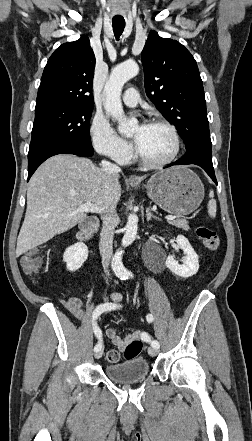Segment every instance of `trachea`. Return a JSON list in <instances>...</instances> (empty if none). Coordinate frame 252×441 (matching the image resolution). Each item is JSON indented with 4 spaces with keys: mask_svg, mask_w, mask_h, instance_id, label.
I'll return each mask as SVG.
<instances>
[{
    "mask_svg": "<svg viewBox=\"0 0 252 441\" xmlns=\"http://www.w3.org/2000/svg\"><path fill=\"white\" fill-rule=\"evenodd\" d=\"M112 26H113L114 35L116 39L119 40L125 28V20H112Z\"/></svg>",
    "mask_w": 252,
    "mask_h": 441,
    "instance_id": "3493384b",
    "label": "trachea"
}]
</instances>
